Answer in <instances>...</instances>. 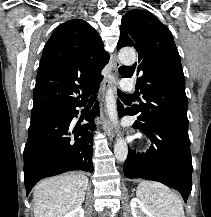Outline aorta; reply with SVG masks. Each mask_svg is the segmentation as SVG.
Segmentation results:
<instances>
[{"mask_svg":"<svg viewBox=\"0 0 211 217\" xmlns=\"http://www.w3.org/2000/svg\"><path fill=\"white\" fill-rule=\"evenodd\" d=\"M118 58L121 63L126 65H132L136 61V53L134 49L126 48L121 49L118 53ZM106 109L110 121L115 125L118 123L117 121V110H116V99H115V91L113 88H109L106 93ZM114 153L115 157L118 161L124 162L127 158L128 147L124 139L121 137L117 138L116 143L114 145Z\"/></svg>","mask_w":211,"mask_h":217,"instance_id":"1","label":"aorta"}]
</instances>
